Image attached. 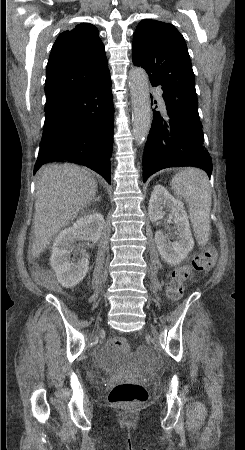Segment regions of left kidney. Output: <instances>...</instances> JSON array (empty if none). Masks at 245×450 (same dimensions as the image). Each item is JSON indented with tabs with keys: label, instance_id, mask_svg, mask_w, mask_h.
I'll return each instance as SVG.
<instances>
[{
	"label": "left kidney",
	"instance_id": "obj_1",
	"mask_svg": "<svg viewBox=\"0 0 245 450\" xmlns=\"http://www.w3.org/2000/svg\"><path fill=\"white\" fill-rule=\"evenodd\" d=\"M169 213V219L175 224L174 242H168V237L161 230L155 233V243L161 257L170 265H179L194 247L187 213L183 203L174 198L165 187L157 185L151 194L148 214L152 222H156Z\"/></svg>",
	"mask_w": 245,
	"mask_h": 450
}]
</instances>
